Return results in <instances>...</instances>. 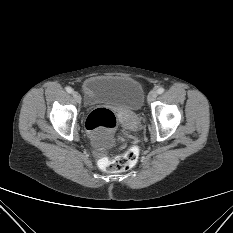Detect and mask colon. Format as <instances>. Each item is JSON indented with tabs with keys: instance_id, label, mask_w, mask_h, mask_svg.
Returning a JSON list of instances; mask_svg holds the SVG:
<instances>
[{
	"instance_id": "1",
	"label": "colon",
	"mask_w": 233,
	"mask_h": 233,
	"mask_svg": "<svg viewBox=\"0 0 233 233\" xmlns=\"http://www.w3.org/2000/svg\"><path fill=\"white\" fill-rule=\"evenodd\" d=\"M117 119L114 112L106 108H98L93 110L87 120L86 128L89 131L104 129L113 130L116 127ZM138 159V149L132 148L121 156H118L112 160L102 158L99 160V165L104 170L117 173L126 171L132 168Z\"/></svg>"
}]
</instances>
